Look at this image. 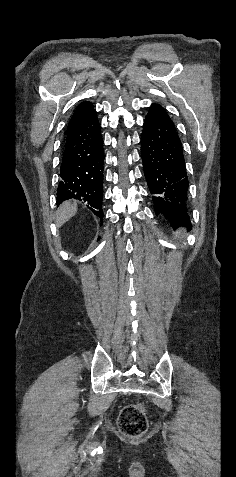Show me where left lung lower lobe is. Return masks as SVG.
Returning <instances> with one entry per match:
<instances>
[{
    "label": "left lung lower lobe",
    "mask_w": 236,
    "mask_h": 477,
    "mask_svg": "<svg viewBox=\"0 0 236 477\" xmlns=\"http://www.w3.org/2000/svg\"><path fill=\"white\" fill-rule=\"evenodd\" d=\"M144 174L156 214H163L172 227L189 225L188 178L183 148L167 111L152 104L141 137Z\"/></svg>",
    "instance_id": "left-lung-lower-lobe-1"
}]
</instances>
